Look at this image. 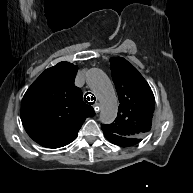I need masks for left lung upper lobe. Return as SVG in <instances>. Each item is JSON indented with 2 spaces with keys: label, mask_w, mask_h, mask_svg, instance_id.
Segmentation results:
<instances>
[{
  "label": "left lung upper lobe",
  "mask_w": 193,
  "mask_h": 193,
  "mask_svg": "<svg viewBox=\"0 0 193 193\" xmlns=\"http://www.w3.org/2000/svg\"><path fill=\"white\" fill-rule=\"evenodd\" d=\"M110 68L120 105L115 122L102 124V130L137 144L151 129L154 95L138 70L124 58H111Z\"/></svg>",
  "instance_id": "obj_1"
}]
</instances>
